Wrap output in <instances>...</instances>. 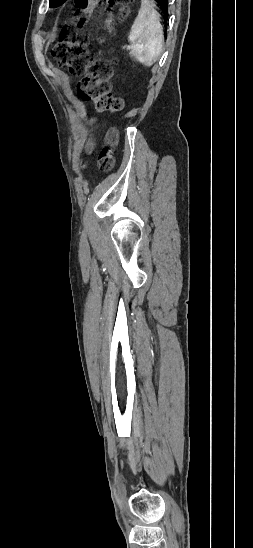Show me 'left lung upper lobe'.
<instances>
[{
  "instance_id": "left-lung-upper-lobe-1",
  "label": "left lung upper lobe",
  "mask_w": 253,
  "mask_h": 548,
  "mask_svg": "<svg viewBox=\"0 0 253 548\" xmlns=\"http://www.w3.org/2000/svg\"><path fill=\"white\" fill-rule=\"evenodd\" d=\"M61 0H50L49 6L54 8Z\"/></svg>"
}]
</instances>
